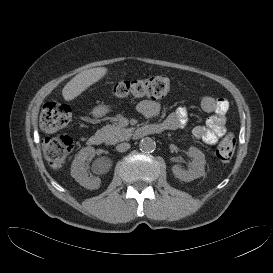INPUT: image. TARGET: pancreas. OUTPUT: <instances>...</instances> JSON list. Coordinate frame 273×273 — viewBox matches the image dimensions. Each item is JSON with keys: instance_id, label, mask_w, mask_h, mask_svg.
Returning <instances> with one entry per match:
<instances>
[{"instance_id": "pancreas-1", "label": "pancreas", "mask_w": 273, "mask_h": 273, "mask_svg": "<svg viewBox=\"0 0 273 273\" xmlns=\"http://www.w3.org/2000/svg\"><path fill=\"white\" fill-rule=\"evenodd\" d=\"M108 144H115L117 142L127 140L132 133V129H126L118 124H109L101 129Z\"/></svg>"}]
</instances>
